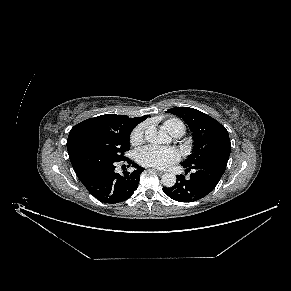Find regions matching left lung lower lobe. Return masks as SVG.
I'll return each instance as SVG.
<instances>
[{
	"instance_id": "1",
	"label": "left lung lower lobe",
	"mask_w": 291,
	"mask_h": 291,
	"mask_svg": "<svg viewBox=\"0 0 291 291\" xmlns=\"http://www.w3.org/2000/svg\"><path fill=\"white\" fill-rule=\"evenodd\" d=\"M227 166V161L207 160L193 165H183L187 171L192 170L190 177L176 176V184L163 191L173 200L194 202L208 195L218 184Z\"/></svg>"
}]
</instances>
